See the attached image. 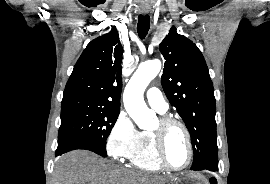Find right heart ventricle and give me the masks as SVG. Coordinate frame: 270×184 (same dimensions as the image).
<instances>
[{
	"label": "right heart ventricle",
	"mask_w": 270,
	"mask_h": 184,
	"mask_svg": "<svg viewBox=\"0 0 270 184\" xmlns=\"http://www.w3.org/2000/svg\"><path fill=\"white\" fill-rule=\"evenodd\" d=\"M128 160L131 166L138 169L154 172L164 169L158 161L151 132H140L137 146Z\"/></svg>",
	"instance_id": "right-heart-ventricle-1"
}]
</instances>
